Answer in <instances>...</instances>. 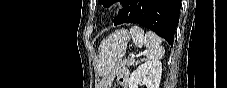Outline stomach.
<instances>
[{
  "label": "stomach",
  "instance_id": "0dacf381",
  "mask_svg": "<svg viewBox=\"0 0 227 88\" xmlns=\"http://www.w3.org/2000/svg\"><path fill=\"white\" fill-rule=\"evenodd\" d=\"M130 35L127 29H120L104 39L99 47L96 70L99 75H108L125 54Z\"/></svg>",
  "mask_w": 227,
  "mask_h": 88
}]
</instances>
